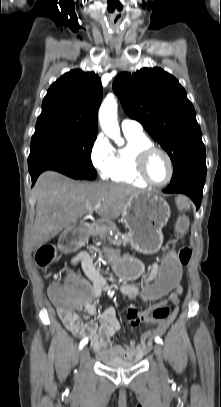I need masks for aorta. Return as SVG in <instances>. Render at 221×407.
Masks as SVG:
<instances>
[{
	"label": "aorta",
	"instance_id": "obj_1",
	"mask_svg": "<svg viewBox=\"0 0 221 407\" xmlns=\"http://www.w3.org/2000/svg\"><path fill=\"white\" fill-rule=\"evenodd\" d=\"M99 122L103 132L113 139L115 143L121 144L120 128L117 120V103L113 95H108L99 109Z\"/></svg>",
	"mask_w": 221,
	"mask_h": 407
}]
</instances>
